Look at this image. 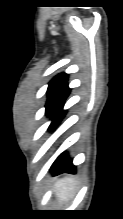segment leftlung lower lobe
<instances>
[{"mask_svg":"<svg viewBox=\"0 0 123 219\" xmlns=\"http://www.w3.org/2000/svg\"><path fill=\"white\" fill-rule=\"evenodd\" d=\"M66 111H63V104L52 114V123L49 129L54 128L64 117ZM62 153L53 163L52 168L56 174L62 172H75V166L72 164V160L68 158V155Z\"/></svg>","mask_w":123,"mask_h":219,"instance_id":"1","label":"left lung lower lobe"}]
</instances>
